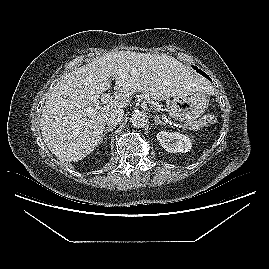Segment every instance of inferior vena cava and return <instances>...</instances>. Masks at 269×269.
<instances>
[{
	"label": "inferior vena cava",
	"mask_w": 269,
	"mask_h": 269,
	"mask_svg": "<svg viewBox=\"0 0 269 269\" xmlns=\"http://www.w3.org/2000/svg\"><path fill=\"white\" fill-rule=\"evenodd\" d=\"M124 116V110L122 108H116L109 111L105 117V123L109 127H115L119 124Z\"/></svg>",
	"instance_id": "602c4592"
}]
</instances>
